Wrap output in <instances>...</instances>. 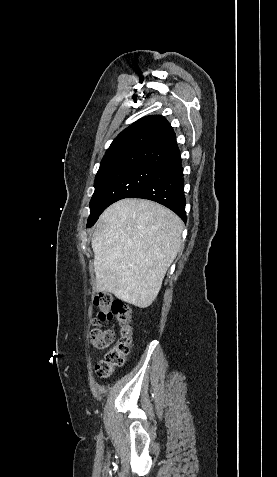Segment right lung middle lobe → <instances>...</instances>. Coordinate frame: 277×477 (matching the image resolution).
<instances>
[{"label": "right lung middle lobe", "instance_id": "obj_1", "mask_svg": "<svg viewBox=\"0 0 277 477\" xmlns=\"http://www.w3.org/2000/svg\"><path fill=\"white\" fill-rule=\"evenodd\" d=\"M159 167L143 164H129L97 173L95 191L90 201V215L87 227L97 221L99 215L112 203L128 198L143 186Z\"/></svg>", "mask_w": 277, "mask_h": 477}]
</instances>
